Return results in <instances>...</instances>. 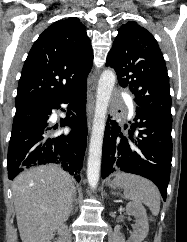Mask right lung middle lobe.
I'll return each mask as SVG.
<instances>
[{
    "instance_id": "1",
    "label": "right lung middle lobe",
    "mask_w": 187,
    "mask_h": 242,
    "mask_svg": "<svg viewBox=\"0 0 187 242\" xmlns=\"http://www.w3.org/2000/svg\"><path fill=\"white\" fill-rule=\"evenodd\" d=\"M25 108H16V113L21 112L22 110H24Z\"/></svg>"
}]
</instances>
